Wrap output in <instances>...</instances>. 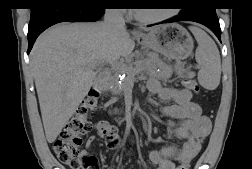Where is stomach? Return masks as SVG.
I'll return each mask as SVG.
<instances>
[{"instance_id": "stomach-1", "label": "stomach", "mask_w": 252, "mask_h": 169, "mask_svg": "<svg viewBox=\"0 0 252 169\" xmlns=\"http://www.w3.org/2000/svg\"><path fill=\"white\" fill-rule=\"evenodd\" d=\"M136 39L142 46L161 53L170 60H183L194 48L190 33L179 24L155 27L146 34H138Z\"/></svg>"}]
</instances>
